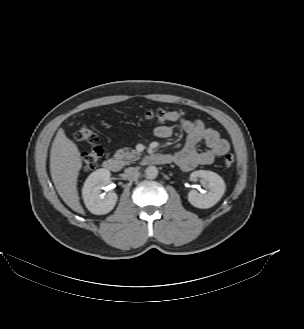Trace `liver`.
<instances>
[{
  "label": "liver",
  "mask_w": 304,
  "mask_h": 329,
  "mask_svg": "<svg viewBox=\"0 0 304 329\" xmlns=\"http://www.w3.org/2000/svg\"><path fill=\"white\" fill-rule=\"evenodd\" d=\"M73 123L70 124L72 126ZM82 159L77 145L60 129L50 151V173L62 200L75 212L85 214L77 191V178Z\"/></svg>",
  "instance_id": "obj_1"
}]
</instances>
